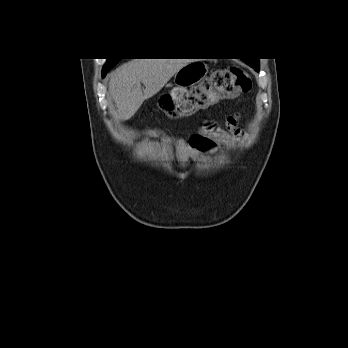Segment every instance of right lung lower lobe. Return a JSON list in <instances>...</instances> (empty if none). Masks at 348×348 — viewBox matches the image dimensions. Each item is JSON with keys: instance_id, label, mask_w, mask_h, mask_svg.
<instances>
[{"instance_id": "obj_1", "label": "right lung lower lobe", "mask_w": 348, "mask_h": 348, "mask_svg": "<svg viewBox=\"0 0 348 348\" xmlns=\"http://www.w3.org/2000/svg\"><path fill=\"white\" fill-rule=\"evenodd\" d=\"M107 71H108V70H102V76H103V77H105Z\"/></svg>"}]
</instances>
